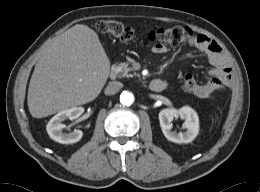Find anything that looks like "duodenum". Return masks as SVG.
I'll return each mask as SVG.
<instances>
[{
    "mask_svg": "<svg viewBox=\"0 0 260 192\" xmlns=\"http://www.w3.org/2000/svg\"><path fill=\"white\" fill-rule=\"evenodd\" d=\"M110 78L111 79L116 78V70L115 69H111ZM165 88H166V83L163 80H160V79H154L149 84V89L153 92H161Z\"/></svg>",
    "mask_w": 260,
    "mask_h": 192,
    "instance_id": "duodenum-1",
    "label": "duodenum"
}]
</instances>
